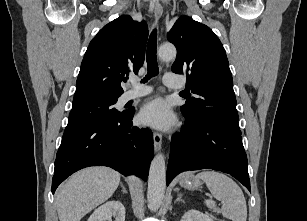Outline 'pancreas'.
<instances>
[{
	"label": "pancreas",
	"instance_id": "obj_1",
	"mask_svg": "<svg viewBox=\"0 0 307 221\" xmlns=\"http://www.w3.org/2000/svg\"><path fill=\"white\" fill-rule=\"evenodd\" d=\"M214 212H219V210H215Z\"/></svg>",
	"mask_w": 307,
	"mask_h": 221
}]
</instances>
